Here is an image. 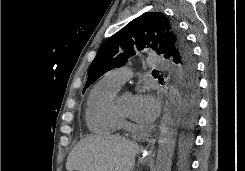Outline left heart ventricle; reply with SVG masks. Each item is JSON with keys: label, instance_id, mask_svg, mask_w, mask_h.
I'll return each mask as SVG.
<instances>
[{"label": "left heart ventricle", "instance_id": "1", "mask_svg": "<svg viewBox=\"0 0 245 171\" xmlns=\"http://www.w3.org/2000/svg\"><path fill=\"white\" fill-rule=\"evenodd\" d=\"M133 99L134 96L132 94H126L122 96L117 103V108L124 114L131 116Z\"/></svg>", "mask_w": 245, "mask_h": 171}]
</instances>
